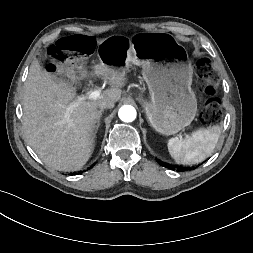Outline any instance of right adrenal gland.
I'll use <instances>...</instances> for the list:
<instances>
[{"label": "right adrenal gland", "mask_w": 253, "mask_h": 253, "mask_svg": "<svg viewBox=\"0 0 253 253\" xmlns=\"http://www.w3.org/2000/svg\"><path fill=\"white\" fill-rule=\"evenodd\" d=\"M104 110H100L99 112H98V117H97V120L95 121V124H94V135L97 133V131H98V128H99V126H100V119H101V116H102V112H103Z\"/></svg>", "instance_id": "obj_1"}]
</instances>
